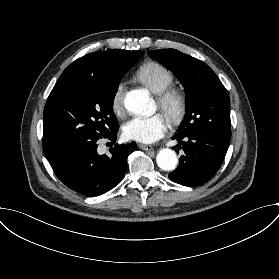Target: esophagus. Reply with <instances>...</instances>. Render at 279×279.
Wrapping results in <instances>:
<instances>
[{"mask_svg":"<svg viewBox=\"0 0 279 279\" xmlns=\"http://www.w3.org/2000/svg\"><path fill=\"white\" fill-rule=\"evenodd\" d=\"M138 147L145 151H152L153 147L149 144H138Z\"/></svg>","mask_w":279,"mask_h":279,"instance_id":"34e87169","label":"esophagus"}]
</instances>
